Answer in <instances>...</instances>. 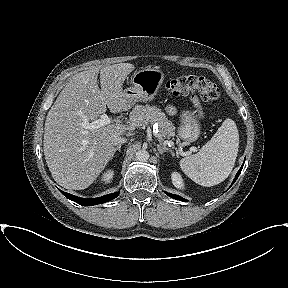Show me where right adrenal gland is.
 Listing matches in <instances>:
<instances>
[{"label":"right adrenal gland","instance_id":"1","mask_svg":"<svg viewBox=\"0 0 288 288\" xmlns=\"http://www.w3.org/2000/svg\"><path fill=\"white\" fill-rule=\"evenodd\" d=\"M116 151H119V152H121V144L120 145H118L116 148H115V152Z\"/></svg>","mask_w":288,"mask_h":288}]
</instances>
